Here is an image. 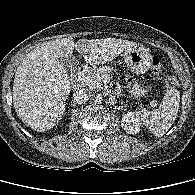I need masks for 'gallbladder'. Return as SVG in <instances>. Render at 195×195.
<instances>
[{"instance_id":"bac80fb5","label":"gallbladder","mask_w":195,"mask_h":195,"mask_svg":"<svg viewBox=\"0 0 195 195\" xmlns=\"http://www.w3.org/2000/svg\"><path fill=\"white\" fill-rule=\"evenodd\" d=\"M62 66L69 72H77L79 70V61L74 55L68 57H62L59 59Z\"/></svg>"}]
</instances>
